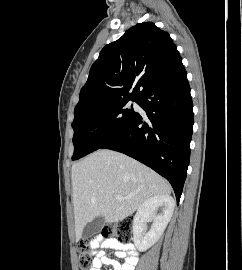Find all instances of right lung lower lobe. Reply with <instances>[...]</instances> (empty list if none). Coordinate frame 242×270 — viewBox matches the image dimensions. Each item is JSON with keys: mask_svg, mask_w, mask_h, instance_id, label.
Returning <instances> with one entry per match:
<instances>
[{"mask_svg": "<svg viewBox=\"0 0 242 270\" xmlns=\"http://www.w3.org/2000/svg\"><path fill=\"white\" fill-rule=\"evenodd\" d=\"M136 103L146 114L134 112L124 127L99 149L124 153L149 166L170 182L179 202L194 124L183 64L153 82Z\"/></svg>", "mask_w": 242, "mask_h": 270, "instance_id": "98d812e1", "label": "right lung lower lobe"}]
</instances>
